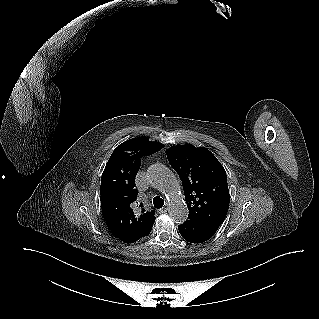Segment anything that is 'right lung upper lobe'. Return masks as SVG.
<instances>
[{
  "label": "right lung upper lobe",
  "mask_w": 319,
  "mask_h": 319,
  "mask_svg": "<svg viewBox=\"0 0 319 319\" xmlns=\"http://www.w3.org/2000/svg\"><path fill=\"white\" fill-rule=\"evenodd\" d=\"M164 145L144 138H133L120 144L110 156L102 173L100 201L104 220L111 232L126 243L147 236L154 224L155 211L145 212L137 202L135 177L141 158Z\"/></svg>",
  "instance_id": "cb5924a9"
}]
</instances>
